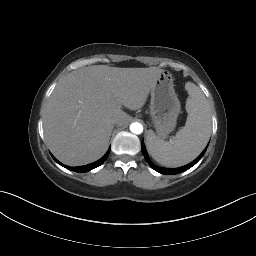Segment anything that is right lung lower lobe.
Listing matches in <instances>:
<instances>
[{
	"mask_svg": "<svg viewBox=\"0 0 256 256\" xmlns=\"http://www.w3.org/2000/svg\"><path fill=\"white\" fill-rule=\"evenodd\" d=\"M110 153V149L107 151V153L101 158L99 159L98 161L92 163V164H89V165H85V166H80V167H68V166H65L67 169L69 170H72V171H75V172H79V173H82V172H87V171H90L100 165H102L105 160L107 159L108 155ZM53 157V156H52ZM53 159L60 165L64 166L62 163H60L55 157H53Z\"/></svg>",
	"mask_w": 256,
	"mask_h": 256,
	"instance_id": "1",
	"label": "right lung lower lobe"
}]
</instances>
